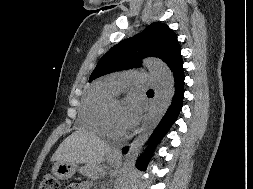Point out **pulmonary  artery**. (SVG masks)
Masks as SVG:
<instances>
[{
  "label": "pulmonary artery",
  "instance_id": "e3ab8cb5",
  "mask_svg": "<svg viewBox=\"0 0 253 189\" xmlns=\"http://www.w3.org/2000/svg\"><path fill=\"white\" fill-rule=\"evenodd\" d=\"M107 84L114 93H117L123 87L130 85L153 87L156 80L153 76L144 73L116 74L108 78Z\"/></svg>",
  "mask_w": 253,
  "mask_h": 189
}]
</instances>
